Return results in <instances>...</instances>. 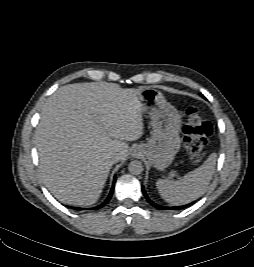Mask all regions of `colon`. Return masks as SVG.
<instances>
[{
  "mask_svg": "<svg viewBox=\"0 0 254 267\" xmlns=\"http://www.w3.org/2000/svg\"><path fill=\"white\" fill-rule=\"evenodd\" d=\"M183 126L184 142L191 160L197 161L204 151L213 132L211 123L201 117L198 110L190 107L185 113Z\"/></svg>",
  "mask_w": 254,
  "mask_h": 267,
  "instance_id": "obj_1",
  "label": "colon"
}]
</instances>
